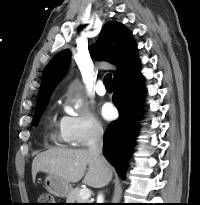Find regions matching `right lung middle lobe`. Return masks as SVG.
Instances as JSON below:
<instances>
[{
  "instance_id": "right-lung-middle-lobe-1",
  "label": "right lung middle lobe",
  "mask_w": 200,
  "mask_h": 205,
  "mask_svg": "<svg viewBox=\"0 0 200 205\" xmlns=\"http://www.w3.org/2000/svg\"><path fill=\"white\" fill-rule=\"evenodd\" d=\"M48 100L49 99H45V100H42V101L37 103L35 115H34V118L32 120L33 125H36L38 119L42 115V112L44 111V109H45V107H46V105L48 103Z\"/></svg>"
}]
</instances>
